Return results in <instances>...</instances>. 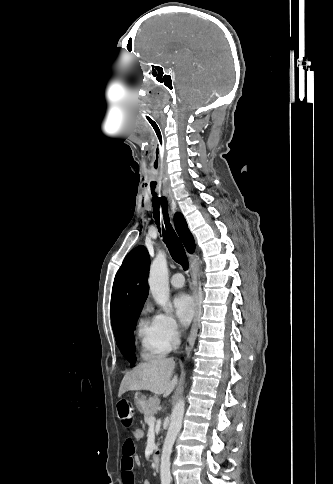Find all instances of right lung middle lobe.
Wrapping results in <instances>:
<instances>
[{
  "mask_svg": "<svg viewBox=\"0 0 333 484\" xmlns=\"http://www.w3.org/2000/svg\"><path fill=\"white\" fill-rule=\"evenodd\" d=\"M140 311L131 313L124 321L119 325L114 335L116 343L119 346L122 354L130 361V367L136 362L135 357V344H134V327L136 325L137 318Z\"/></svg>",
  "mask_w": 333,
  "mask_h": 484,
  "instance_id": "dd1d6c3e",
  "label": "right lung middle lobe"
}]
</instances>
